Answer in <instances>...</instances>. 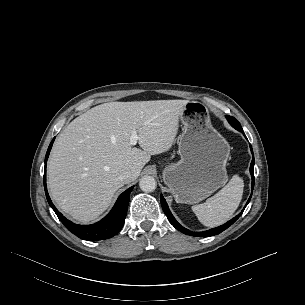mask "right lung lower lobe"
<instances>
[{"mask_svg": "<svg viewBox=\"0 0 305 305\" xmlns=\"http://www.w3.org/2000/svg\"><path fill=\"white\" fill-rule=\"evenodd\" d=\"M55 139V138H54ZM54 139L50 143L46 157H45V170H44V188H45V194L47 201L51 208L54 210L56 215L58 216L59 220L65 225V227L74 233L76 236L83 240H103L108 239L116 235L122 228L128 203L130 199V193L133 189V186L127 189L125 192H123L119 198L117 199L116 204L114 205L113 209L110 211V213L104 217L101 221L92 224V225H77L72 223L71 221L67 220L53 205L47 191L46 187V163L49 156V152L52 148V144L54 142Z\"/></svg>", "mask_w": 305, "mask_h": 305, "instance_id": "1", "label": "right lung lower lobe"}]
</instances>
